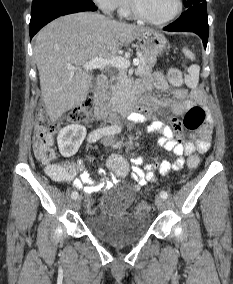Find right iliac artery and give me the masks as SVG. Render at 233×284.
<instances>
[{
    "mask_svg": "<svg viewBox=\"0 0 233 284\" xmlns=\"http://www.w3.org/2000/svg\"><path fill=\"white\" fill-rule=\"evenodd\" d=\"M117 132H118V129L114 126H107V127L99 128V129L92 131L88 135L87 140H88L89 143H94L97 140H99L100 138H102L103 136L113 135ZM71 197H72V199H76L78 197V192H76V191L72 192Z\"/></svg>",
    "mask_w": 233,
    "mask_h": 284,
    "instance_id": "obj_1",
    "label": "right iliac artery"
}]
</instances>
